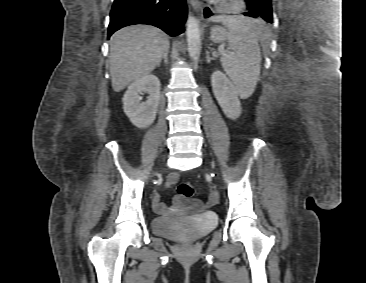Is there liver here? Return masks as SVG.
<instances>
[{
    "mask_svg": "<svg viewBox=\"0 0 366 283\" xmlns=\"http://www.w3.org/2000/svg\"><path fill=\"white\" fill-rule=\"evenodd\" d=\"M169 50L168 36L152 25L140 24L116 31L110 39V74L114 91L150 74Z\"/></svg>",
    "mask_w": 366,
    "mask_h": 283,
    "instance_id": "liver-1",
    "label": "liver"
}]
</instances>
